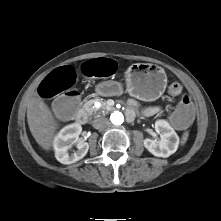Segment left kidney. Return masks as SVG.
<instances>
[{
	"label": "left kidney",
	"mask_w": 221,
	"mask_h": 221,
	"mask_svg": "<svg viewBox=\"0 0 221 221\" xmlns=\"http://www.w3.org/2000/svg\"><path fill=\"white\" fill-rule=\"evenodd\" d=\"M155 131L160 134V140L146 138L145 148L156 157L167 158L175 153L179 146V137L169 123L165 120L156 121Z\"/></svg>",
	"instance_id": "1"
}]
</instances>
